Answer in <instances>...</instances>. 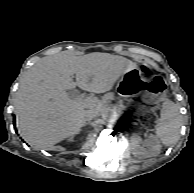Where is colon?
<instances>
[{
    "instance_id": "colon-1",
    "label": "colon",
    "mask_w": 194,
    "mask_h": 193,
    "mask_svg": "<svg viewBox=\"0 0 194 193\" xmlns=\"http://www.w3.org/2000/svg\"><path fill=\"white\" fill-rule=\"evenodd\" d=\"M140 70H141L142 73L146 74V73H148L149 68L147 66L143 65V66H141Z\"/></svg>"
}]
</instances>
